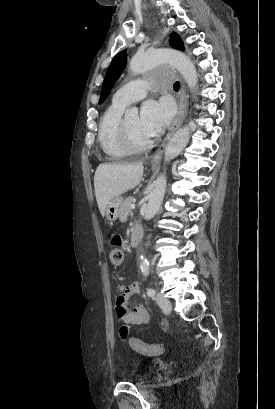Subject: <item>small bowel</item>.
I'll list each match as a JSON object with an SVG mask.
<instances>
[{
  "instance_id": "small-bowel-1",
  "label": "small bowel",
  "mask_w": 275,
  "mask_h": 409,
  "mask_svg": "<svg viewBox=\"0 0 275 409\" xmlns=\"http://www.w3.org/2000/svg\"><path fill=\"white\" fill-rule=\"evenodd\" d=\"M140 290L141 285L138 282L129 287L120 285L117 288L118 298L116 300L117 305L114 307V312L117 314V317L123 321V326L121 327V332L123 334H128L130 332V327L127 325V322L133 325H144L150 321V314L145 305L138 303L132 307L125 306L130 299L139 294ZM118 345L120 347H125L127 345V340L125 338H120L118 340Z\"/></svg>"
}]
</instances>
